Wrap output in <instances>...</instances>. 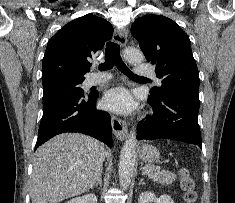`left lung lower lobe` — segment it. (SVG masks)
<instances>
[{"label": "left lung lower lobe", "instance_id": "left-lung-lower-lobe-1", "mask_svg": "<svg viewBox=\"0 0 235 203\" xmlns=\"http://www.w3.org/2000/svg\"><path fill=\"white\" fill-rule=\"evenodd\" d=\"M154 114L137 126V139H172L202 148L198 124L199 94L174 91L162 99L149 97Z\"/></svg>", "mask_w": 235, "mask_h": 203}]
</instances>
